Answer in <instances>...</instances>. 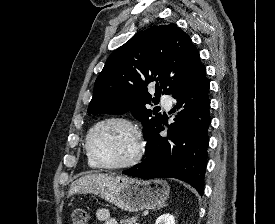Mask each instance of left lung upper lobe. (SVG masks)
Listing matches in <instances>:
<instances>
[{
	"label": "left lung upper lobe",
	"mask_w": 275,
	"mask_h": 224,
	"mask_svg": "<svg viewBox=\"0 0 275 224\" xmlns=\"http://www.w3.org/2000/svg\"><path fill=\"white\" fill-rule=\"evenodd\" d=\"M202 67L199 51L176 24L151 26L108 57L95 81L88 113L130 110L142 122L145 138L161 123V115L146 108L156 101L147 85L155 83L156 98L172 94Z\"/></svg>",
	"instance_id": "obj_1"
}]
</instances>
